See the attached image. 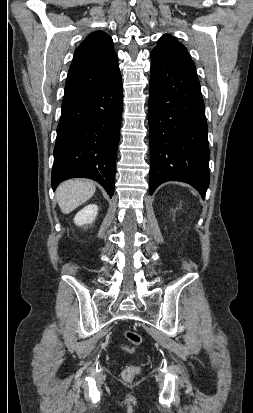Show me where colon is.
<instances>
[{
	"instance_id": "1",
	"label": "colon",
	"mask_w": 253,
	"mask_h": 413,
	"mask_svg": "<svg viewBox=\"0 0 253 413\" xmlns=\"http://www.w3.org/2000/svg\"><path fill=\"white\" fill-rule=\"evenodd\" d=\"M124 337L133 347L140 345L142 342L141 335L133 330H126L124 332ZM138 373L139 367L129 366L123 370L122 377L126 381H132Z\"/></svg>"
}]
</instances>
